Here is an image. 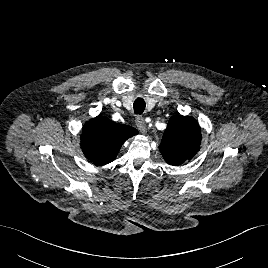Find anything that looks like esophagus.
<instances>
[{
	"label": "esophagus",
	"mask_w": 268,
	"mask_h": 268,
	"mask_svg": "<svg viewBox=\"0 0 268 268\" xmlns=\"http://www.w3.org/2000/svg\"><path fill=\"white\" fill-rule=\"evenodd\" d=\"M136 125L141 133L146 134L147 128L144 118L142 116H137L135 119Z\"/></svg>",
	"instance_id": "34e87169"
}]
</instances>
